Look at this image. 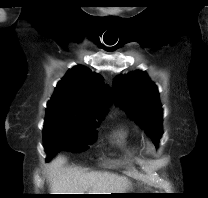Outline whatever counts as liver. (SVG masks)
Listing matches in <instances>:
<instances>
[{"label":"liver","mask_w":208,"mask_h":198,"mask_svg":"<svg viewBox=\"0 0 208 198\" xmlns=\"http://www.w3.org/2000/svg\"><path fill=\"white\" fill-rule=\"evenodd\" d=\"M66 159L55 157L48 165V178L52 194H112L126 193L130 181L123 176L92 171L83 173L72 167H64Z\"/></svg>","instance_id":"6515ba94"}]
</instances>
